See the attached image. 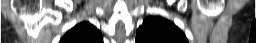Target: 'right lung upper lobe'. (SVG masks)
<instances>
[{"label":"right lung upper lobe","mask_w":256,"mask_h":43,"mask_svg":"<svg viewBox=\"0 0 256 43\" xmlns=\"http://www.w3.org/2000/svg\"><path fill=\"white\" fill-rule=\"evenodd\" d=\"M60 43H103V38L93 25L83 22L71 29Z\"/></svg>","instance_id":"obj_1"}]
</instances>
